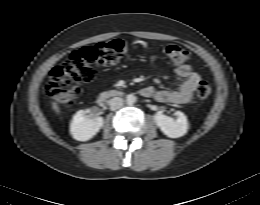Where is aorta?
<instances>
[{
	"label": "aorta",
	"mask_w": 260,
	"mask_h": 205,
	"mask_svg": "<svg viewBox=\"0 0 260 205\" xmlns=\"http://www.w3.org/2000/svg\"><path fill=\"white\" fill-rule=\"evenodd\" d=\"M136 101H137V98H136V96H135L134 94H129V95H127V97H126V102H127V104L132 105V104H134Z\"/></svg>",
	"instance_id": "1"
}]
</instances>
